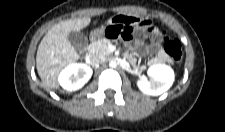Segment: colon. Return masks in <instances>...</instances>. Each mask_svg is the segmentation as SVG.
Returning <instances> with one entry per match:
<instances>
[{
  "label": "colon",
  "instance_id": "1",
  "mask_svg": "<svg viewBox=\"0 0 225 132\" xmlns=\"http://www.w3.org/2000/svg\"><path fill=\"white\" fill-rule=\"evenodd\" d=\"M138 31L135 27L112 25L108 27L107 34L110 38L129 41L136 36ZM163 48L171 61L179 64L182 60V47L178 39L165 38Z\"/></svg>",
  "mask_w": 225,
  "mask_h": 132
}]
</instances>
